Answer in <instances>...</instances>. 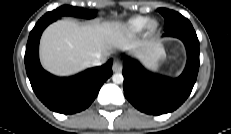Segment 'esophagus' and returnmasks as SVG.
Masks as SVG:
<instances>
[{"label":"esophagus","instance_id":"1","mask_svg":"<svg viewBox=\"0 0 231 134\" xmlns=\"http://www.w3.org/2000/svg\"><path fill=\"white\" fill-rule=\"evenodd\" d=\"M122 68H123V64L121 61L119 60H116L114 63H113V72H121L122 71Z\"/></svg>","mask_w":231,"mask_h":134}]
</instances>
